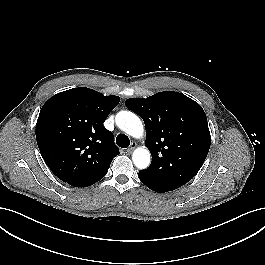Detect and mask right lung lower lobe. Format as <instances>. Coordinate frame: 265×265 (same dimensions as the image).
Returning <instances> with one entry per match:
<instances>
[{"mask_svg":"<svg viewBox=\"0 0 265 265\" xmlns=\"http://www.w3.org/2000/svg\"><path fill=\"white\" fill-rule=\"evenodd\" d=\"M97 182V181H96ZM96 182H94V183H96ZM94 183H91V184H89V185H86V186H90V185H92V184H94ZM86 186H82V187H86Z\"/></svg>","mask_w":265,"mask_h":265,"instance_id":"obj_1","label":"right lung lower lobe"}]
</instances>
